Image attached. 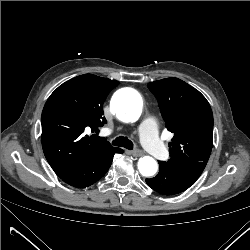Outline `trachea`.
Returning a JSON list of instances; mask_svg holds the SVG:
<instances>
[{"label":"trachea","mask_w":250,"mask_h":250,"mask_svg":"<svg viewBox=\"0 0 250 250\" xmlns=\"http://www.w3.org/2000/svg\"><path fill=\"white\" fill-rule=\"evenodd\" d=\"M112 144L114 146L124 147L129 150H132L134 148L133 143L127 137L124 136L117 137L115 140L112 141Z\"/></svg>","instance_id":"obj_1"}]
</instances>
